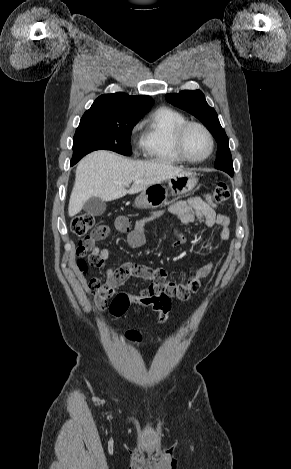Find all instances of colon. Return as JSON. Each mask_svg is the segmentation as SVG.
<instances>
[{"mask_svg":"<svg viewBox=\"0 0 291 469\" xmlns=\"http://www.w3.org/2000/svg\"><path fill=\"white\" fill-rule=\"evenodd\" d=\"M230 194L229 186L226 182L220 181L217 183L213 190L212 198L215 202H223L228 199ZM71 231L82 237L77 254L79 256L85 255L90 252L94 244L105 238L107 229L105 226H94V217L90 214L84 213L76 216L71 222ZM78 267L82 271H86L87 263L83 258H79ZM89 264L93 267H101L102 262L98 258L89 257ZM101 284L93 282L89 285V290L96 293L101 289ZM129 308H143L145 311H157L159 323H165L168 320L171 310V299L167 293H149L147 296H138L136 299L128 297L125 290H120L114 293L113 301L110 306V312L114 313L113 317L118 319L122 313H127ZM126 338L131 342H139L141 335L139 332L131 330L126 333Z\"/></svg>","mask_w":291,"mask_h":469,"instance_id":"obj_1","label":"colon"}]
</instances>
